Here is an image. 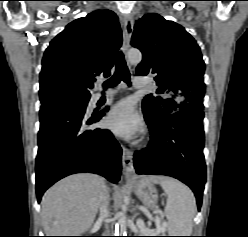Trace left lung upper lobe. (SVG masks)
Segmentation results:
<instances>
[{
  "label": "left lung upper lobe",
  "instance_id": "left-lung-upper-lobe-1",
  "mask_svg": "<svg viewBox=\"0 0 248 237\" xmlns=\"http://www.w3.org/2000/svg\"><path fill=\"white\" fill-rule=\"evenodd\" d=\"M131 45L143 54L138 75H155L157 92L167 97L144 98V114L156 125L174 112L203 110L205 64L194 38L179 24L150 13L136 21Z\"/></svg>",
  "mask_w": 248,
  "mask_h": 237
}]
</instances>
